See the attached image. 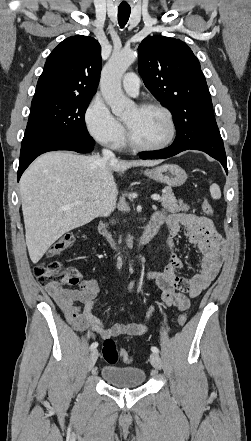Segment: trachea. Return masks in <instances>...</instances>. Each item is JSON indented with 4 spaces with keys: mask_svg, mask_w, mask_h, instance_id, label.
<instances>
[{
    "mask_svg": "<svg viewBox=\"0 0 251 441\" xmlns=\"http://www.w3.org/2000/svg\"><path fill=\"white\" fill-rule=\"evenodd\" d=\"M130 8H118V22L121 28H123L130 17Z\"/></svg>",
    "mask_w": 251,
    "mask_h": 441,
    "instance_id": "obj_1",
    "label": "trachea"
}]
</instances>
